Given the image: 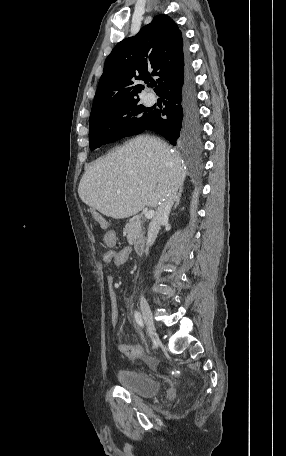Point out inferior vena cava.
Instances as JSON below:
<instances>
[{"mask_svg": "<svg viewBox=\"0 0 286 456\" xmlns=\"http://www.w3.org/2000/svg\"><path fill=\"white\" fill-rule=\"evenodd\" d=\"M175 194L176 192H170L161 198L156 213L148 226L147 246H152L154 244L161 225L168 220L171 207L176 198Z\"/></svg>", "mask_w": 286, "mask_h": 456, "instance_id": "602c4592", "label": "inferior vena cava"}]
</instances>
